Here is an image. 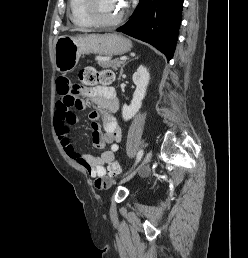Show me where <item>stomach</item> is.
Wrapping results in <instances>:
<instances>
[{"instance_id": "1", "label": "stomach", "mask_w": 248, "mask_h": 258, "mask_svg": "<svg viewBox=\"0 0 248 258\" xmlns=\"http://www.w3.org/2000/svg\"><path fill=\"white\" fill-rule=\"evenodd\" d=\"M132 43L119 34L62 35L54 43V62L57 71H72L84 54L120 55L130 51Z\"/></svg>"}]
</instances>
